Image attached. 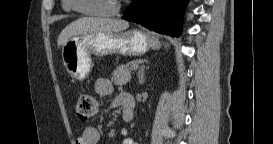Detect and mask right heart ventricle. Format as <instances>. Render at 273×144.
Returning a JSON list of instances; mask_svg holds the SVG:
<instances>
[{
  "instance_id": "obj_1",
  "label": "right heart ventricle",
  "mask_w": 273,
  "mask_h": 144,
  "mask_svg": "<svg viewBox=\"0 0 273 144\" xmlns=\"http://www.w3.org/2000/svg\"><path fill=\"white\" fill-rule=\"evenodd\" d=\"M63 9L66 12H71L73 9L71 7V1L70 0H64L62 3Z\"/></svg>"
}]
</instances>
